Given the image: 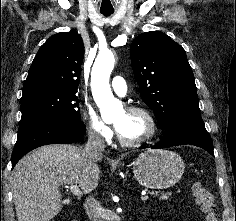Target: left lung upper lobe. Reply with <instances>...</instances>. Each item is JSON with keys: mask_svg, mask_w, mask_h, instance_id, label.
Returning a JSON list of instances; mask_svg holds the SVG:
<instances>
[{"mask_svg": "<svg viewBox=\"0 0 236 221\" xmlns=\"http://www.w3.org/2000/svg\"><path fill=\"white\" fill-rule=\"evenodd\" d=\"M139 92L161 129L179 119L201 118L194 75L185 50L166 34L145 32L130 47Z\"/></svg>", "mask_w": 236, "mask_h": 221, "instance_id": "left-lung-upper-lobe-1", "label": "left lung upper lobe"}]
</instances>
